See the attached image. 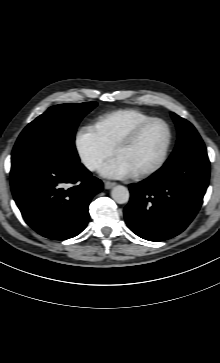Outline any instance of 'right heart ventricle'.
I'll return each instance as SVG.
<instances>
[{"mask_svg": "<svg viewBox=\"0 0 220 363\" xmlns=\"http://www.w3.org/2000/svg\"><path fill=\"white\" fill-rule=\"evenodd\" d=\"M153 118V116L138 109H121L100 116L95 122V128L104 141L114 147L116 142L136 125Z\"/></svg>", "mask_w": 220, "mask_h": 363, "instance_id": "e07e8e85", "label": "right heart ventricle"}]
</instances>
